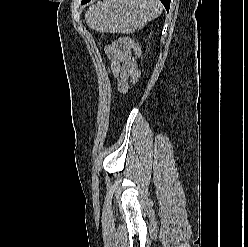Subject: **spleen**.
I'll list each match as a JSON object with an SVG mask.
<instances>
[{
  "label": "spleen",
  "mask_w": 248,
  "mask_h": 247,
  "mask_svg": "<svg viewBox=\"0 0 248 247\" xmlns=\"http://www.w3.org/2000/svg\"><path fill=\"white\" fill-rule=\"evenodd\" d=\"M159 0H103L86 12V23L96 31L131 34L160 15Z\"/></svg>",
  "instance_id": "1"
}]
</instances>
